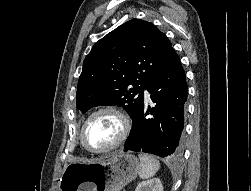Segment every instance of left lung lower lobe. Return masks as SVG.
I'll return each instance as SVG.
<instances>
[{
  "label": "left lung lower lobe",
  "mask_w": 251,
  "mask_h": 191,
  "mask_svg": "<svg viewBox=\"0 0 251 191\" xmlns=\"http://www.w3.org/2000/svg\"><path fill=\"white\" fill-rule=\"evenodd\" d=\"M147 91L156 105L146 111L143 100L124 151H143L160 157L179 156L183 145L188 86L174 49L152 78Z\"/></svg>",
  "instance_id": "obj_1"
}]
</instances>
